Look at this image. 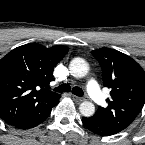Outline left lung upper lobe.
I'll return each mask as SVG.
<instances>
[{
	"mask_svg": "<svg viewBox=\"0 0 145 145\" xmlns=\"http://www.w3.org/2000/svg\"><path fill=\"white\" fill-rule=\"evenodd\" d=\"M103 74V84L111 89L106 108L95 113L100 121L117 131L127 128L145 103V71L128 55L110 48L92 51Z\"/></svg>",
	"mask_w": 145,
	"mask_h": 145,
	"instance_id": "1",
	"label": "left lung upper lobe"
}]
</instances>
